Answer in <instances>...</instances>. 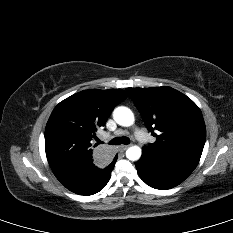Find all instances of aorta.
<instances>
[{"label":"aorta","mask_w":233,"mask_h":233,"mask_svg":"<svg viewBox=\"0 0 233 233\" xmlns=\"http://www.w3.org/2000/svg\"><path fill=\"white\" fill-rule=\"evenodd\" d=\"M113 118L115 122L121 126L129 127L134 123L133 112L124 106L117 107L113 112ZM142 150L139 146H131L126 151V157L131 161H137L140 159Z\"/></svg>","instance_id":"obj_1"}]
</instances>
